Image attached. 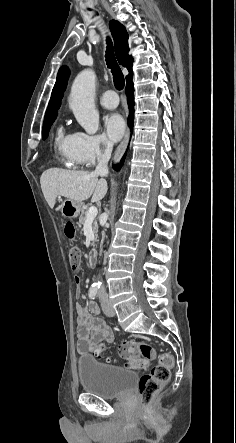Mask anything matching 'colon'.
I'll list each match as a JSON object with an SVG mask.
<instances>
[{"label": "colon", "mask_w": 236, "mask_h": 443, "mask_svg": "<svg viewBox=\"0 0 236 443\" xmlns=\"http://www.w3.org/2000/svg\"><path fill=\"white\" fill-rule=\"evenodd\" d=\"M64 233L68 240L74 241L76 238V226L72 222H67L64 226ZM81 251L77 246H72L68 251L69 265L73 270L80 266ZM92 354L98 360L107 363L115 362L113 358L106 355L105 345L103 343L96 344L92 350ZM118 353L125 361V366L136 369L146 370L150 361L155 356L154 348L145 341L124 340L118 346ZM173 358L170 354L165 353L160 357V363L153 367L149 373L144 374L138 384V392L140 401L143 405L151 402L153 397L159 390L169 381L170 369L173 366Z\"/></svg>", "instance_id": "5ec220e1"}]
</instances>
